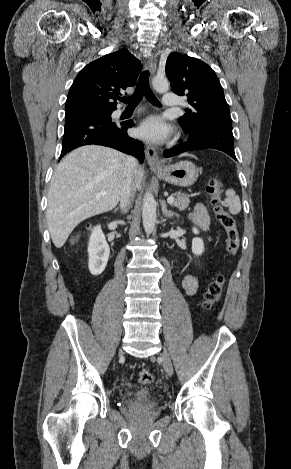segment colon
Listing matches in <instances>:
<instances>
[{"mask_svg":"<svg viewBox=\"0 0 291 469\" xmlns=\"http://www.w3.org/2000/svg\"><path fill=\"white\" fill-rule=\"evenodd\" d=\"M221 181L218 178L211 180L208 193L211 197V204L217 220L226 233L225 249L229 257H234L239 249L240 240L236 223L232 216L225 210L221 199ZM225 285V277L217 275L207 286L203 297V307L210 310L221 298ZM139 382L150 384L153 382V374L148 369H142L138 374Z\"/></svg>","mask_w":291,"mask_h":469,"instance_id":"colon-1","label":"colon"}]
</instances>
